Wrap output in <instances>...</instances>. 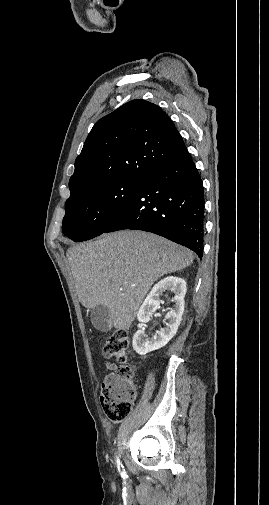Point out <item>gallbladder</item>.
Listing matches in <instances>:
<instances>
[{"instance_id": "bac80fb5", "label": "gallbladder", "mask_w": 269, "mask_h": 505, "mask_svg": "<svg viewBox=\"0 0 269 505\" xmlns=\"http://www.w3.org/2000/svg\"><path fill=\"white\" fill-rule=\"evenodd\" d=\"M92 325L101 332H108L112 328L110 309L105 305H98L91 310Z\"/></svg>"}]
</instances>
